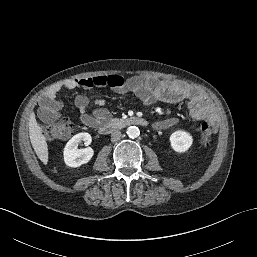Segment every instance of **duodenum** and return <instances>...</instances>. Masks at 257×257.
Masks as SVG:
<instances>
[{
	"mask_svg": "<svg viewBox=\"0 0 257 257\" xmlns=\"http://www.w3.org/2000/svg\"><path fill=\"white\" fill-rule=\"evenodd\" d=\"M148 122L142 118L137 116L125 117L108 120L103 122L99 126V131L102 134H110L117 129H121L127 126L136 125V126H147Z\"/></svg>",
	"mask_w": 257,
	"mask_h": 257,
	"instance_id": "obj_1",
	"label": "duodenum"
}]
</instances>
